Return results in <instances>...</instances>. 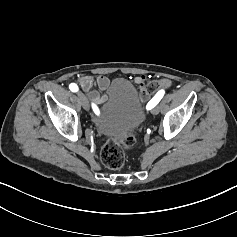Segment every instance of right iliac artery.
<instances>
[{"label": "right iliac artery", "mask_w": 237, "mask_h": 237, "mask_svg": "<svg viewBox=\"0 0 237 237\" xmlns=\"http://www.w3.org/2000/svg\"><path fill=\"white\" fill-rule=\"evenodd\" d=\"M69 89L72 91V92H77L78 91V86L75 84V83H71L69 85Z\"/></svg>", "instance_id": "1"}]
</instances>
